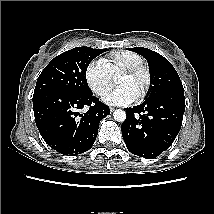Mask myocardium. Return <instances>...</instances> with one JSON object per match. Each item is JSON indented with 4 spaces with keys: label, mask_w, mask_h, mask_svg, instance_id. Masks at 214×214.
I'll list each match as a JSON object with an SVG mask.
<instances>
[{
    "label": "myocardium",
    "mask_w": 214,
    "mask_h": 214,
    "mask_svg": "<svg viewBox=\"0 0 214 214\" xmlns=\"http://www.w3.org/2000/svg\"><path fill=\"white\" fill-rule=\"evenodd\" d=\"M120 75L140 77L142 79V88L137 98L141 100L146 96L151 85V72L146 65L141 64L125 69L120 73Z\"/></svg>",
    "instance_id": "myocardium-1"
}]
</instances>
